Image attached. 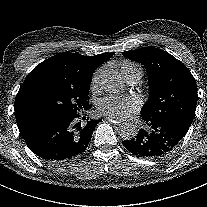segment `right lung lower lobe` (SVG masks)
Instances as JSON below:
<instances>
[{"label":"right lung lower lobe","instance_id":"right-lung-lower-lobe-1","mask_svg":"<svg viewBox=\"0 0 207 207\" xmlns=\"http://www.w3.org/2000/svg\"><path fill=\"white\" fill-rule=\"evenodd\" d=\"M81 115L52 118L26 123L19 131L28 147L41 159L63 164L83 154L96 125L101 120H89Z\"/></svg>","mask_w":207,"mask_h":207}]
</instances>
